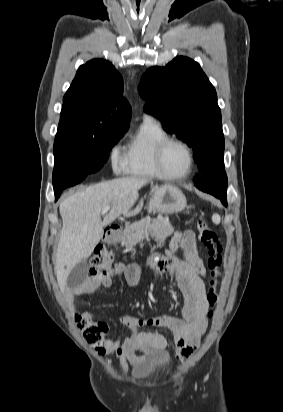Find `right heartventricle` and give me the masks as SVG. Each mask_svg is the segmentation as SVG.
Here are the masks:
<instances>
[{"label":"right heart ventricle","instance_id":"right-heart-ventricle-1","mask_svg":"<svg viewBox=\"0 0 283 412\" xmlns=\"http://www.w3.org/2000/svg\"><path fill=\"white\" fill-rule=\"evenodd\" d=\"M169 137L163 127L153 119H145L136 135L128 142L122 170L135 176L159 177L155 165V152L159 143Z\"/></svg>","mask_w":283,"mask_h":412}]
</instances>
